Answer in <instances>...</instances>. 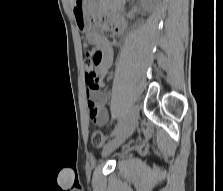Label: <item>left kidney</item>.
<instances>
[{
  "instance_id": "1",
  "label": "left kidney",
  "mask_w": 223,
  "mask_h": 191,
  "mask_svg": "<svg viewBox=\"0 0 223 191\" xmlns=\"http://www.w3.org/2000/svg\"><path fill=\"white\" fill-rule=\"evenodd\" d=\"M155 2V0H142L141 5L145 10H150Z\"/></svg>"
}]
</instances>
